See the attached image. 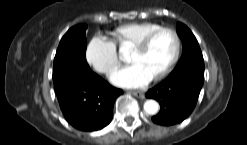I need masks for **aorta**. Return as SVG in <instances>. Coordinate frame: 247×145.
Returning a JSON list of instances; mask_svg holds the SVG:
<instances>
[{"instance_id": "762f6f07", "label": "aorta", "mask_w": 247, "mask_h": 145, "mask_svg": "<svg viewBox=\"0 0 247 145\" xmlns=\"http://www.w3.org/2000/svg\"><path fill=\"white\" fill-rule=\"evenodd\" d=\"M159 110V104L155 100H147L144 103V111L149 115H155Z\"/></svg>"}]
</instances>
